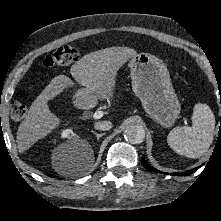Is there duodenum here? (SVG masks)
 Instances as JSON below:
<instances>
[{
	"label": "duodenum",
	"instance_id": "obj_1",
	"mask_svg": "<svg viewBox=\"0 0 221 221\" xmlns=\"http://www.w3.org/2000/svg\"><path fill=\"white\" fill-rule=\"evenodd\" d=\"M84 109H87L88 108V104L86 102V100H83L80 104Z\"/></svg>",
	"mask_w": 221,
	"mask_h": 221
}]
</instances>
